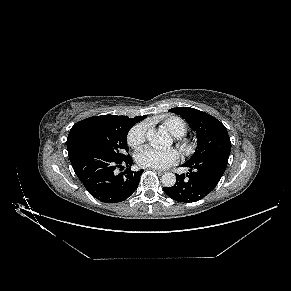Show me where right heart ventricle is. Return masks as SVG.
<instances>
[{"label": "right heart ventricle", "instance_id": "e07e8e85", "mask_svg": "<svg viewBox=\"0 0 291 291\" xmlns=\"http://www.w3.org/2000/svg\"><path fill=\"white\" fill-rule=\"evenodd\" d=\"M162 125L174 136H182L186 133L188 125L185 120L177 116H168L162 120Z\"/></svg>", "mask_w": 291, "mask_h": 291}]
</instances>
